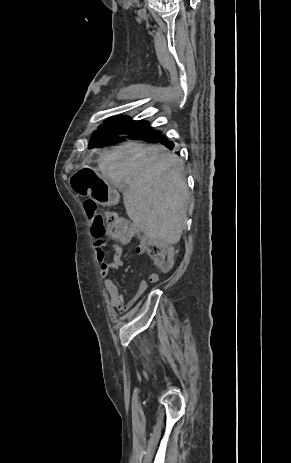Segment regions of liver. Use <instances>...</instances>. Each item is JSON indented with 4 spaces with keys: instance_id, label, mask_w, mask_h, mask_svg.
<instances>
[{
    "instance_id": "obj_1",
    "label": "liver",
    "mask_w": 291,
    "mask_h": 463,
    "mask_svg": "<svg viewBox=\"0 0 291 463\" xmlns=\"http://www.w3.org/2000/svg\"><path fill=\"white\" fill-rule=\"evenodd\" d=\"M102 177L118 186L129 218L145 236L173 245L187 223L189 191L181 176L182 161L162 145L129 141L99 160Z\"/></svg>"
}]
</instances>
